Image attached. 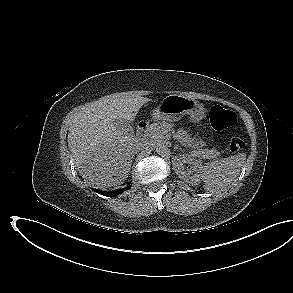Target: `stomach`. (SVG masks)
Segmentation results:
<instances>
[{"label": "stomach", "instance_id": "obj_1", "mask_svg": "<svg viewBox=\"0 0 293 293\" xmlns=\"http://www.w3.org/2000/svg\"><path fill=\"white\" fill-rule=\"evenodd\" d=\"M186 114L191 121L200 122L204 118L205 109L194 99L171 94L161 101L151 116L154 121H178Z\"/></svg>", "mask_w": 293, "mask_h": 293}]
</instances>
